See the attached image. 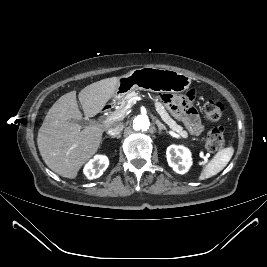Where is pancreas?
<instances>
[{"label": "pancreas", "mask_w": 267, "mask_h": 267, "mask_svg": "<svg viewBox=\"0 0 267 267\" xmlns=\"http://www.w3.org/2000/svg\"><path fill=\"white\" fill-rule=\"evenodd\" d=\"M138 92L136 91H131L130 93H128L124 98H122L119 102L118 105L119 108L117 111H121L123 109H125L128 101L134 97L138 96ZM152 100L155 102V107H156V111L160 114L162 120L169 126L170 129H172L174 132H176L179 136H181L182 138H187L188 137V133L187 131H185L183 129V127H181L180 125H178L168 114V112L166 111L165 107L162 105V103L158 102L157 99L152 98Z\"/></svg>", "instance_id": "cf45deb5"}]
</instances>
